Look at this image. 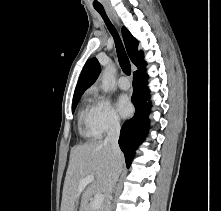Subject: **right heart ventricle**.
<instances>
[{"label":"right heart ventricle","instance_id":"obj_1","mask_svg":"<svg viewBox=\"0 0 221 211\" xmlns=\"http://www.w3.org/2000/svg\"><path fill=\"white\" fill-rule=\"evenodd\" d=\"M78 119L80 133L84 138L94 140L100 137L92 125L91 107L84 105L79 112Z\"/></svg>","mask_w":221,"mask_h":211}]
</instances>
